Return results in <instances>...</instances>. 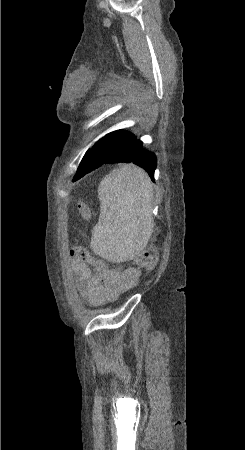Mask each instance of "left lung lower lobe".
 <instances>
[{"label": "left lung lower lobe", "mask_w": 245, "mask_h": 450, "mask_svg": "<svg viewBox=\"0 0 245 450\" xmlns=\"http://www.w3.org/2000/svg\"><path fill=\"white\" fill-rule=\"evenodd\" d=\"M94 151L96 155L101 156L98 164L93 166L92 168L87 169L84 172H81L75 175L73 181H76L83 177L85 174L89 173L93 169L99 167L102 164L115 163V162H132L135 163L149 174L152 181H154V171L156 168V156L153 152L147 150L143 147V143L140 140H137L136 137L132 139L130 142L124 144L123 146L110 148V147H100L96 146L90 149L87 152V156H89Z\"/></svg>", "instance_id": "left-lung-lower-lobe-1"}]
</instances>
